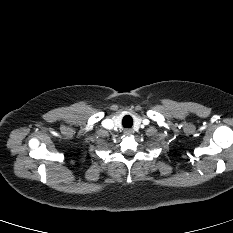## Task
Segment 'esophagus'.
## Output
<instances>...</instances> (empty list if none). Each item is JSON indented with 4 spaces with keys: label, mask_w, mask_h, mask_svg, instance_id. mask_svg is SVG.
<instances>
[{
    "label": "esophagus",
    "mask_w": 233,
    "mask_h": 233,
    "mask_svg": "<svg viewBox=\"0 0 233 233\" xmlns=\"http://www.w3.org/2000/svg\"><path fill=\"white\" fill-rule=\"evenodd\" d=\"M132 133H133L132 129L127 128L124 130V134L127 136L131 135Z\"/></svg>",
    "instance_id": "esophagus-1"
}]
</instances>
